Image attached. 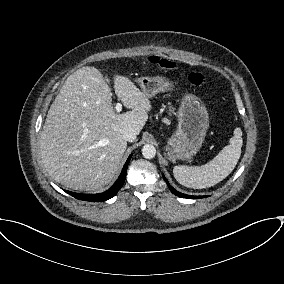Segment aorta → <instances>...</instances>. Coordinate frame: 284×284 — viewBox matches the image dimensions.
Returning <instances> with one entry per match:
<instances>
[{"label":"aorta","instance_id":"762f6f07","mask_svg":"<svg viewBox=\"0 0 284 284\" xmlns=\"http://www.w3.org/2000/svg\"><path fill=\"white\" fill-rule=\"evenodd\" d=\"M142 155L146 159H152L156 155V148L151 144H145L142 147Z\"/></svg>","mask_w":284,"mask_h":284}]
</instances>
